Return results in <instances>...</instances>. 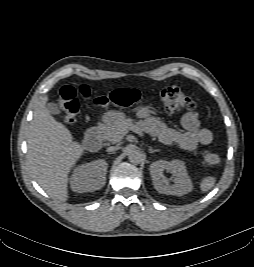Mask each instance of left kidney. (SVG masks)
<instances>
[{
	"mask_svg": "<svg viewBox=\"0 0 254 267\" xmlns=\"http://www.w3.org/2000/svg\"><path fill=\"white\" fill-rule=\"evenodd\" d=\"M164 170L175 176V184L168 185L163 175ZM150 174L154 188L167 195L181 196L192 191L193 184L188 176L185 163L181 160H172L170 162L159 160L150 165Z\"/></svg>",
	"mask_w": 254,
	"mask_h": 267,
	"instance_id": "obj_1",
	"label": "left kidney"
}]
</instances>
